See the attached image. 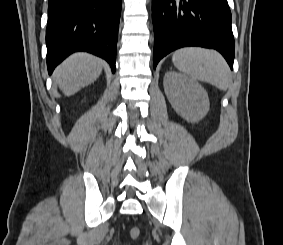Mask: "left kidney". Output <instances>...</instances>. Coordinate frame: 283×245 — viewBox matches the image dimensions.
Wrapping results in <instances>:
<instances>
[{
    "label": "left kidney",
    "instance_id": "left-kidney-1",
    "mask_svg": "<svg viewBox=\"0 0 283 245\" xmlns=\"http://www.w3.org/2000/svg\"><path fill=\"white\" fill-rule=\"evenodd\" d=\"M164 90L171 106L188 122H199L209 111L208 94L193 79L170 71L164 76Z\"/></svg>",
    "mask_w": 283,
    "mask_h": 245
}]
</instances>
